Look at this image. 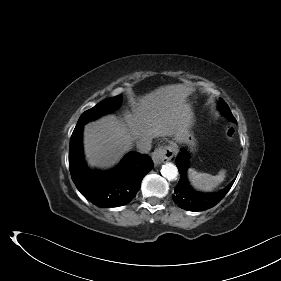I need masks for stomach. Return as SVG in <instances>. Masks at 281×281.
Returning a JSON list of instances; mask_svg holds the SVG:
<instances>
[{
  "instance_id": "stomach-1",
  "label": "stomach",
  "mask_w": 281,
  "mask_h": 281,
  "mask_svg": "<svg viewBox=\"0 0 281 281\" xmlns=\"http://www.w3.org/2000/svg\"><path fill=\"white\" fill-rule=\"evenodd\" d=\"M190 127L183 129L177 136H175L174 141L171 142V149L173 151L178 150V144L182 145L189 152H194L196 147V140L193 134L189 130Z\"/></svg>"
}]
</instances>
